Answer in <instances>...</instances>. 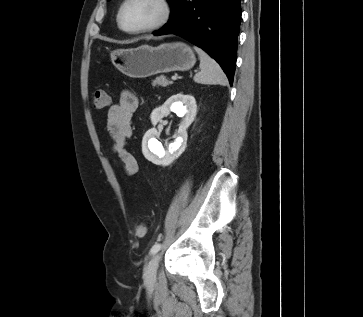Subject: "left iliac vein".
<instances>
[{"instance_id": "1", "label": "left iliac vein", "mask_w": 363, "mask_h": 317, "mask_svg": "<svg viewBox=\"0 0 363 317\" xmlns=\"http://www.w3.org/2000/svg\"><path fill=\"white\" fill-rule=\"evenodd\" d=\"M159 259L160 256L159 254H155L153 256V258L150 260L147 269H146V273H145V280L146 282H153L156 279V275H157V268H158V264H159Z\"/></svg>"}]
</instances>
